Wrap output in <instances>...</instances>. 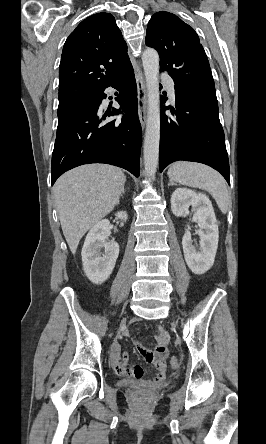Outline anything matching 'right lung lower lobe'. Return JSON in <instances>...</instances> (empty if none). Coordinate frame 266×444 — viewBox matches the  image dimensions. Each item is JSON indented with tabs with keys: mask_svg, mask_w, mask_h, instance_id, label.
Listing matches in <instances>:
<instances>
[{
	"mask_svg": "<svg viewBox=\"0 0 266 444\" xmlns=\"http://www.w3.org/2000/svg\"><path fill=\"white\" fill-rule=\"evenodd\" d=\"M109 86L119 90L116 101L126 116L120 121L105 123L106 116L122 112L112 108L109 113L101 116V101L106 97L105 88ZM141 139L136 82L133 67L129 63L95 94L90 103L58 121L52 154L51 184L64 172L89 163L115 165L138 177Z\"/></svg>",
	"mask_w": 266,
	"mask_h": 444,
	"instance_id": "obj_1",
	"label": "right lung lower lobe"
}]
</instances>
